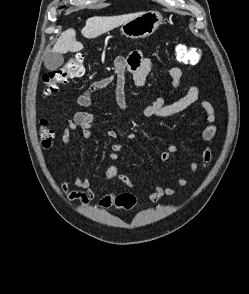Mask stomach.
<instances>
[{
    "label": "stomach",
    "instance_id": "1",
    "mask_svg": "<svg viewBox=\"0 0 249 294\" xmlns=\"http://www.w3.org/2000/svg\"><path fill=\"white\" fill-rule=\"evenodd\" d=\"M163 18L157 11H147L121 27L122 34L130 39H142L152 35Z\"/></svg>",
    "mask_w": 249,
    "mask_h": 294
}]
</instances>
